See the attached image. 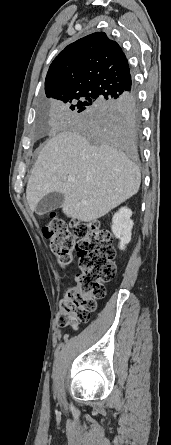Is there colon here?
<instances>
[{"mask_svg":"<svg viewBox=\"0 0 171 445\" xmlns=\"http://www.w3.org/2000/svg\"><path fill=\"white\" fill-rule=\"evenodd\" d=\"M58 263L66 268L77 251L79 273L75 284L65 287L60 304L58 325L76 328L87 322L96 309L97 300L106 295L104 282L115 276L114 248L110 232L99 221L75 223L69 227L52 216L42 228Z\"/></svg>","mask_w":171,"mask_h":445,"instance_id":"obj_1","label":"colon"}]
</instances>
